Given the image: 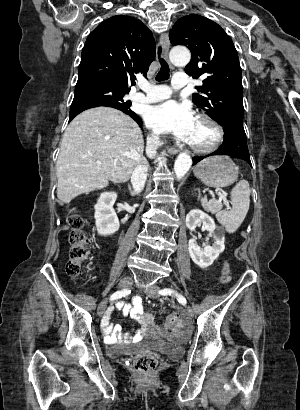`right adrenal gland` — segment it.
<instances>
[{
    "mask_svg": "<svg viewBox=\"0 0 300 410\" xmlns=\"http://www.w3.org/2000/svg\"><path fill=\"white\" fill-rule=\"evenodd\" d=\"M128 190H129L131 196H135V195H136L135 191L132 189V187H131L130 184L128 185Z\"/></svg>",
    "mask_w": 300,
    "mask_h": 410,
    "instance_id": "1",
    "label": "right adrenal gland"
}]
</instances>
